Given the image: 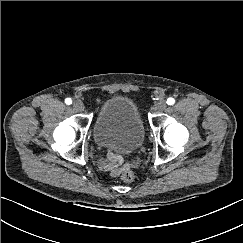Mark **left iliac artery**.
Segmentation results:
<instances>
[{
	"label": "left iliac artery",
	"instance_id": "obj_1",
	"mask_svg": "<svg viewBox=\"0 0 243 243\" xmlns=\"http://www.w3.org/2000/svg\"><path fill=\"white\" fill-rule=\"evenodd\" d=\"M174 103H175V99L174 98L170 97V98L167 99V104L168 105H173Z\"/></svg>",
	"mask_w": 243,
	"mask_h": 243
}]
</instances>
